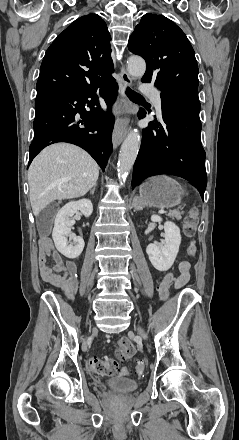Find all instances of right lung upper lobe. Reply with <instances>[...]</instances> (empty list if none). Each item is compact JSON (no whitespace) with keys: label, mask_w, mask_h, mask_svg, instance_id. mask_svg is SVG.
Instances as JSON below:
<instances>
[{"label":"right lung upper lobe","mask_w":239,"mask_h":440,"mask_svg":"<svg viewBox=\"0 0 239 440\" xmlns=\"http://www.w3.org/2000/svg\"><path fill=\"white\" fill-rule=\"evenodd\" d=\"M110 40L107 25L97 14L75 20L46 51L37 93L87 88L111 77Z\"/></svg>","instance_id":"1"}]
</instances>
